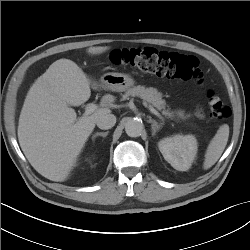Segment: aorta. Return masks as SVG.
<instances>
[{
	"mask_svg": "<svg viewBox=\"0 0 250 250\" xmlns=\"http://www.w3.org/2000/svg\"><path fill=\"white\" fill-rule=\"evenodd\" d=\"M143 130V124L137 119H129L125 124L126 134L130 137H138Z\"/></svg>",
	"mask_w": 250,
	"mask_h": 250,
	"instance_id": "762f6f07",
	"label": "aorta"
}]
</instances>
